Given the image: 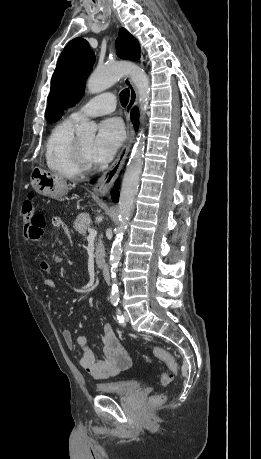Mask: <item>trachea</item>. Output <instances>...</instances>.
Here are the masks:
<instances>
[{
	"label": "trachea",
	"mask_w": 261,
	"mask_h": 459,
	"mask_svg": "<svg viewBox=\"0 0 261 459\" xmlns=\"http://www.w3.org/2000/svg\"><path fill=\"white\" fill-rule=\"evenodd\" d=\"M130 91L128 88L124 89L120 93V102L123 107H125L129 102Z\"/></svg>",
	"instance_id": "obj_1"
}]
</instances>
